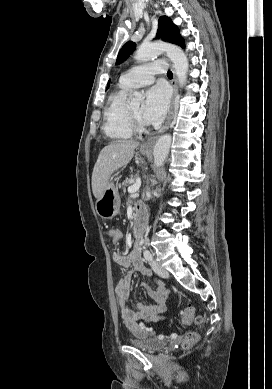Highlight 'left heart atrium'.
Returning a JSON list of instances; mask_svg holds the SVG:
<instances>
[{
	"instance_id": "1",
	"label": "left heart atrium",
	"mask_w": 272,
	"mask_h": 389,
	"mask_svg": "<svg viewBox=\"0 0 272 389\" xmlns=\"http://www.w3.org/2000/svg\"><path fill=\"white\" fill-rule=\"evenodd\" d=\"M170 95L166 87L156 85L146 93L142 106V119L146 124H156L163 120L169 108Z\"/></svg>"
}]
</instances>
